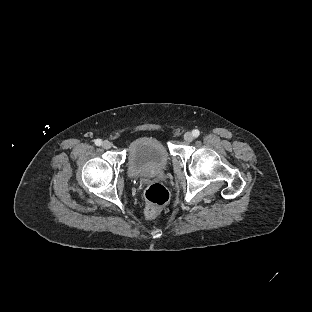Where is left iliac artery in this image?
Here are the masks:
<instances>
[{"label":"left iliac artery","instance_id":"1","mask_svg":"<svg viewBox=\"0 0 312 312\" xmlns=\"http://www.w3.org/2000/svg\"><path fill=\"white\" fill-rule=\"evenodd\" d=\"M192 134L194 137H198L200 135V132H199V130H193Z\"/></svg>","mask_w":312,"mask_h":312}]
</instances>
